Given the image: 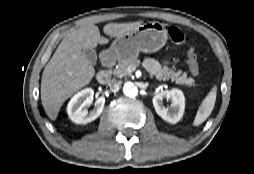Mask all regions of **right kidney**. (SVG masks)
Here are the masks:
<instances>
[{
	"instance_id": "1",
	"label": "right kidney",
	"mask_w": 254,
	"mask_h": 174,
	"mask_svg": "<svg viewBox=\"0 0 254 174\" xmlns=\"http://www.w3.org/2000/svg\"><path fill=\"white\" fill-rule=\"evenodd\" d=\"M94 90L85 88L75 94L68 103L67 113L69 118L77 124H86L98 118L104 108L105 98L100 97L95 102V109L88 112L87 108L93 100Z\"/></svg>"
}]
</instances>
